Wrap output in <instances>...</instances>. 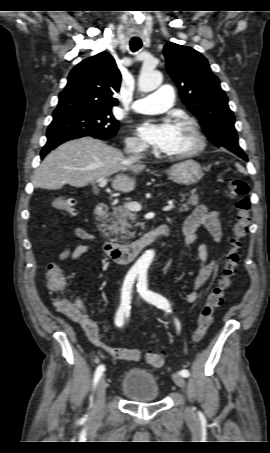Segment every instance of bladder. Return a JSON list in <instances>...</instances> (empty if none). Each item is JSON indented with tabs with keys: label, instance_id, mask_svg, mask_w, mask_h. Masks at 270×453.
<instances>
[{
	"label": "bladder",
	"instance_id": "bladder-1",
	"mask_svg": "<svg viewBox=\"0 0 270 453\" xmlns=\"http://www.w3.org/2000/svg\"><path fill=\"white\" fill-rule=\"evenodd\" d=\"M120 390L129 400L139 403L155 402L160 396L155 377L141 368H133L124 374Z\"/></svg>",
	"mask_w": 270,
	"mask_h": 453
}]
</instances>
